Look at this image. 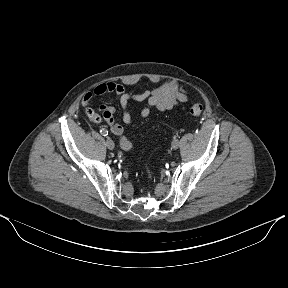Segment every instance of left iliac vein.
<instances>
[{"label": "left iliac vein", "mask_w": 288, "mask_h": 288, "mask_svg": "<svg viewBox=\"0 0 288 288\" xmlns=\"http://www.w3.org/2000/svg\"><path fill=\"white\" fill-rule=\"evenodd\" d=\"M171 145L173 149H177L179 147V140H173Z\"/></svg>", "instance_id": "left-iliac-vein-1"}]
</instances>
